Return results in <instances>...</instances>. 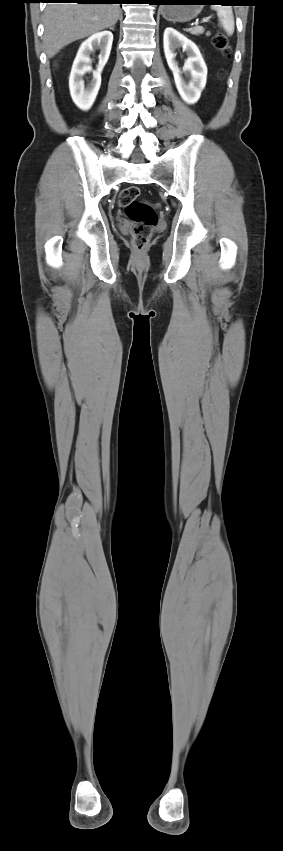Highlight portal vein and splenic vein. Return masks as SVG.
<instances>
[{
    "instance_id": "obj_1",
    "label": "portal vein and splenic vein",
    "mask_w": 283,
    "mask_h": 851,
    "mask_svg": "<svg viewBox=\"0 0 283 851\" xmlns=\"http://www.w3.org/2000/svg\"><path fill=\"white\" fill-rule=\"evenodd\" d=\"M208 21H209L208 19H204V20H202V23L208 22ZM195 24L198 25V21H196Z\"/></svg>"
}]
</instances>
